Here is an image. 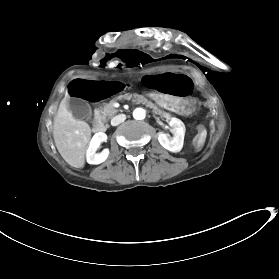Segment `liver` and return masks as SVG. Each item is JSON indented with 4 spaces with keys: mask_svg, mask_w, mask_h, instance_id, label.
I'll list each match as a JSON object with an SVG mask.
<instances>
[{
    "mask_svg": "<svg viewBox=\"0 0 279 279\" xmlns=\"http://www.w3.org/2000/svg\"><path fill=\"white\" fill-rule=\"evenodd\" d=\"M68 96L60 101L57 113L53 119L55 146L61 157L76 168L84 166V156L87 144L91 138L90 126L81 120H76L68 108Z\"/></svg>",
    "mask_w": 279,
    "mask_h": 279,
    "instance_id": "obj_1",
    "label": "liver"
}]
</instances>
